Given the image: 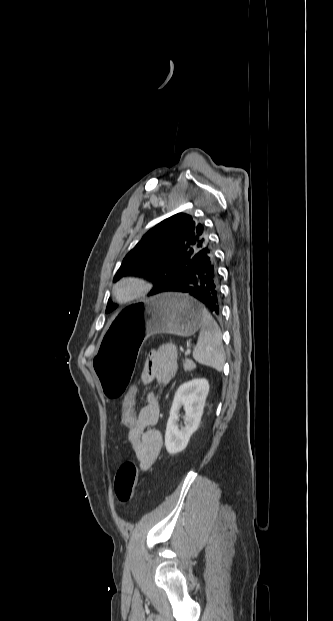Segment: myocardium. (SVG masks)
<instances>
[{
  "label": "myocardium",
  "instance_id": "f54148a6",
  "mask_svg": "<svg viewBox=\"0 0 333 621\" xmlns=\"http://www.w3.org/2000/svg\"><path fill=\"white\" fill-rule=\"evenodd\" d=\"M125 285H132L135 290L127 296H121L120 290ZM151 290L152 284L148 279L142 276L128 275L121 277L113 284L112 295L117 302L128 304L144 298Z\"/></svg>",
  "mask_w": 333,
  "mask_h": 621
}]
</instances>
